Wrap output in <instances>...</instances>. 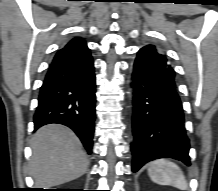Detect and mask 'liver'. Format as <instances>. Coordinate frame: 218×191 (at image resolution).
I'll return each instance as SVG.
<instances>
[{"label": "liver", "instance_id": "6515ba94", "mask_svg": "<svg viewBox=\"0 0 218 191\" xmlns=\"http://www.w3.org/2000/svg\"><path fill=\"white\" fill-rule=\"evenodd\" d=\"M31 148L30 173L38 188L75 180L86 172L89 165L78 137L62 125L50 124L37 130Z\"/></svg>", "mask_w": 218, "mask_h": 191}]
</instances>
